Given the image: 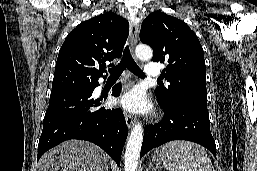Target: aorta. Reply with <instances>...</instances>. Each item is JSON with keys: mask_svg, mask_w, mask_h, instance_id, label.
<instances>
[{"mask_svg": "<svg viewBox=\"0 0 257 171\" xmlns=\"http://www.w3.org/2000/svg\"><path fill=\"white\" fill-rule=\"evenodd\" d=\"M136 56L141 61H148L152 58V49L147 45H138L135 50ZM143 140V128L140 123L134 125L131 130L125 151V171H135Z\"/></svg>", "mask_w": 257, "mask_h": 171, "instance_id": "obj_1", "label": "aorta"}]
</instances>
